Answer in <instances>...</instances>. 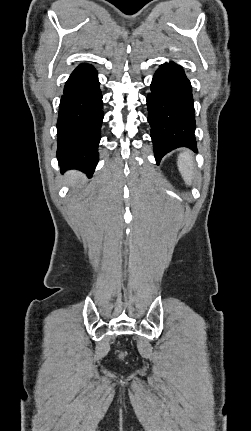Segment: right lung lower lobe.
<instances>
[{
  "instance_id": "obj_1",
  "label": "right lung lower lobe",
  "mask_w": 251,
  "mask_h": 431,
  "mask_svg": "<svg viewBox=\"0 0 251 431\" xmlns=\"http://www.w3.org/2000/svg\"><path fill=\"white\" fill-rule=\"evenodd\" d=\"M103 116L96 70L80 64L65 83L59 105L57 158L62 172L78 169L92 176L98 163Z\"/></svg>"
}]
</instances>
